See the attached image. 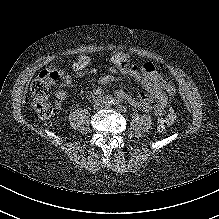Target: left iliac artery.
<instances>
[{
	"mask_svg": "<svg viewBox=\"0 0 219 219\" xmlns=\"http://www.w3.org/2000/svg\"><path fill=\"white\" fill-rule=\"evenodd\" d=\"M113 104L114 105H119L120 104V99L119 98H115Z\"/></svg>",
	"mask_w": 219,
	"mask_h": 219,
	"instance_id": "obj_1",
	"label": "left iliac artery"
}]
</instances>
